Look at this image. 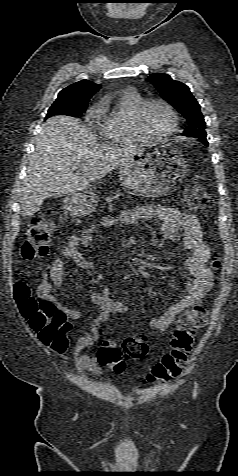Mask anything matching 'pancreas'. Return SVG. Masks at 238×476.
Wrapping results in <instances>:
<instances>
[{
    "label": "pancreas",
    "instance_id": "obj_1",
    "mask_svg": "<svg viewBox=\"0 0 238 476\" xmlns=\"http://www.w3.org/2000/svg\"><path fill=\"white\" fill-rule=\"evenodd\" d=\"M118 196H119V194H118ZM115 198H116V196H110V197H108V200L111 201V200H113V199H115Z\"/></svg>",
    "mask_w": 238,
    "mask_h": 476
}]
</instances>
